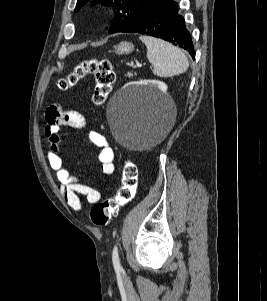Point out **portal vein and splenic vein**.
<instances>
[{
	"label": "portal vein and splenic vein",
	"mask_w": 267,
	"mask_h": 301,
	"mask_svg": "<svg viewBox=\"0 0 267 301\" xmlns=\"http://www.w3.org/2000/svg\"><path fill=\"white\" fill-rule=\"evenodd\" d=\"M136 67H142V64L136 63Z\"/></svg>",
	"instance_id": "obj_1"
}]
</instances>
